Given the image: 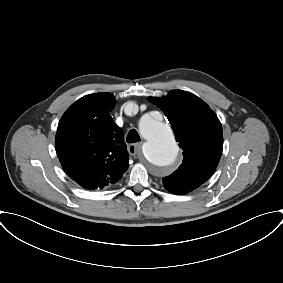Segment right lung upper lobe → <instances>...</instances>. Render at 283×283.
I'll return each instance as SVG.
<instances>
[{"label":"right lung upper lobe","mask_w":283,"mask_h":283,"mask_svg":"<svg viewBox=\"0 0 283 283\" xmlns=\"http://www.w3.org/2000/svg\"><path fill=\"white\" fill-rule=\"evenodd\" d=\"M115 98L110 93L84 96L62 116L55 138L64 171L87 189H102L121 179L128 169L123 131L109 111Z\"/></svg>","instance_id":"obj_1"}]
</instances>
